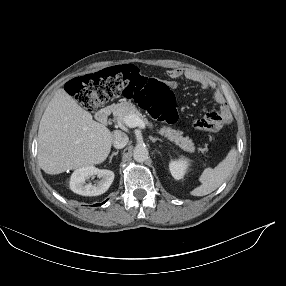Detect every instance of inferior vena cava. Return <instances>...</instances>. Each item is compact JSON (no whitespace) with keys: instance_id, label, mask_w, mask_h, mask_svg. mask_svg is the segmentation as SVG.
I'll list each match as a JSON object with an SVG mask.
<instances>
[{"instance_id":"obj_1","label":"inferior vena cava","mask_w":286,"mask_h":286,"mask_svg":"<svg viewBox=\"0 0 286 286\" xmlns=\"http://www.w3.org/2000/svg\"><path fill=\"white\" fill-rule=\"evenodd\" d=\"M128 136L122 132V131H119V130H116L113 132V146L117 149H121V148H124L127 143H128Z\"/></svg>"}]
</instances>
